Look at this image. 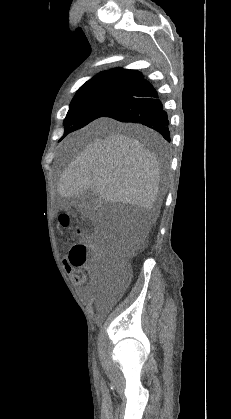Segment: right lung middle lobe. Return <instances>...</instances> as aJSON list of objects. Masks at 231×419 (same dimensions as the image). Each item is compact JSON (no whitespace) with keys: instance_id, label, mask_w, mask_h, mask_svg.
I'll use <instances>...</instances> for the list:
<instances>
[{"instance_id":"dd1d6c3e","label":"right lung middle lobe","mask_w":231,"mask_h":419,"mask_svg":"<svg viewBox=\"0 0 231 419\" xmlns=\"http://www.w3.org/2000/svg\"><path fill=\"white\" fill-rule=\"evenodd\" d=\"M132 86H98L78 90L64 120V136L103 117L123 102L134 90ZM62 137V138H63ZM61 138V139H62ZM60 139V140H61Z\"/></svg>"}]
</instances>
